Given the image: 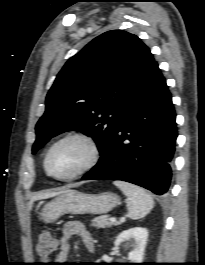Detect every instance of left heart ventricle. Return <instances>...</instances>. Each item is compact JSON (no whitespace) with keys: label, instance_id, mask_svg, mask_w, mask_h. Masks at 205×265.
<instances>
[{"label":"left heart ventricle","instance_id":"b2bd125f","mask_svg":"<svg viewBox=\"0 0 205 265\" xmlns=\"http://www.w3.org/2000/svg\"><path fill=\"white\" fill-rule=\"evenodd\" d=\"M89 150L79 140H68L56 146L48 160L50 171L58 176H66L77 171L87 160Z\"/></svg>","mask_w":205,"mask_h":265}]
</instances>
